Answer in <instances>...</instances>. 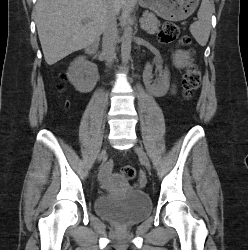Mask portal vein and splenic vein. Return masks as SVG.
I'll list each match as a JSON object with an SVG mask.
<instances>
[{
  "label": "portal vein and splenic vein",
  "instance_id": "18ae733b",
  "mask_svg": "<svg viewBox=\"0 0 248 250\" xmlns=\"http://www.w3.org/2000/svg\"><path fill=\"white\" fill-rule=\"evenodd\" d=\"M139 21H140V23L142 24V23L144 22V19H143V18H141Z\"/></svg>",
  "mask_w": 248,
  "mask_h": 250
}]
</instances>
